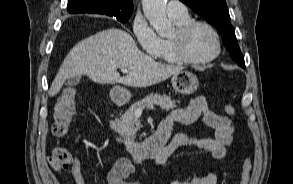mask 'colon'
I'll return each mask as SVG.
<instances>
[{
	"mask_svg": "<svg viewBox=\"0 0 293 184\" xmlns=\"http://www.w3.org/2000/svg\"><path fill=\"white\" fill-rule=\"evenodd\" d=\"M224 110L229 116H234L236 114V110L231 104H225ZM75 111L76 104L74 92L72 89L66 88L56 103L54 109L52 132L56 137H62L68 133L75 115ZM70 159L71 156L69 152L63 147H56L49 157V161L51 163L57 164H66L70 161ZM251 168L252 165L250 159H246L242 165L240 184H248Z\"/></svg>",
	"mask_w": 293,
	"mask_h": 184,
	"instance_id": "5ec220e1",
	"label": "colon"
}]
</instances>
